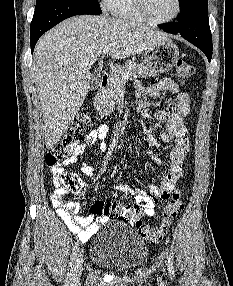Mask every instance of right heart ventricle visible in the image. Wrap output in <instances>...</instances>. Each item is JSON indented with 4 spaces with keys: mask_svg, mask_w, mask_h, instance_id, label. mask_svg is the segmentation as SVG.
Instances as JSON below:
<instances>
[{
    "mask_svg": "<svg viewBox=\"0 0 233 286\" xmlns=\"http://www.w3.org/2000/svg\"><path fill=\"white\" fill-rule=\"evenodd\" d=\"M108 10L118 18L146 22L136 9L133 0H110Z\"/></svg>",
    "mask_w": 233,
    "mask_h": 286,
    "instance_id": "obj_1",
    "label": "right heart ventricle"
}]
</instances>
